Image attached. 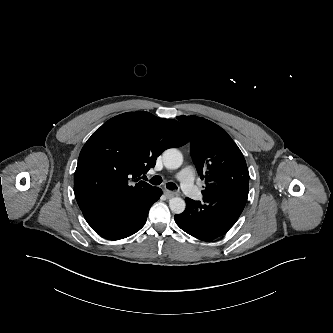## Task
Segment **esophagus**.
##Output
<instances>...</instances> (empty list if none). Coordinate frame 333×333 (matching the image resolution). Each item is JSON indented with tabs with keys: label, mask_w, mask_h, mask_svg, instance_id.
Wrapping results in <instances>:
<instances>
[{
	"label": "esophagus",
	"mask_w": 333,
	"mask_h": 333,
	"mask_svg": "<svg viewBox=\"0 0 333 333\" xmlns=\"http://www.w3.org/2000/svg\"><path fill=\"white\" fill-rule=\"evenodd\" d=\"M164 194H165L166 198H168V199L173 198L174 196L177 195L175 192H172V191H169V190H165Z\"/></svg>",
	"instance_id": "obj_1"
}]
</instances>
